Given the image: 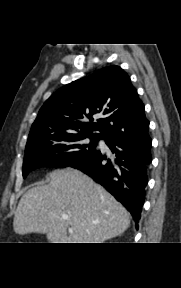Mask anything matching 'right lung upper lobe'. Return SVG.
I'll use <instances>...</instances> for the list:
<instances>
[{
  "instance_id": "cb5924a9",
  "label": "right lung upper lobe",
  "mask_w": 181,
  "mask_h": 288,
  "mask_svg": "<svg viewBox=\"0 0 181 288\" xmlns=\"http://www.w3.org/2000/svg\"><path fill=\"white\" fill-rule=\"evenodd\" d=\"M94 114L102 118L93 122ZM148 127L144 104L130 77L113 65L57 90L40 109L28 141L55 133L136 138L147 134Z\"/></svg>"
}]
</instances>
